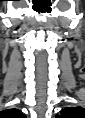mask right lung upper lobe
Returning <instances> with one entry per match:
<instances>
[{
	"label": "right lung upper lobe",
	"mask_w": 85,
	"mask_h": 118,
	"mask_svg": "<svg viewBox=\"0 0 85 118\" xmlns=\"http://www.w3.org/2000/svg\"><path fill=\"white\" fill-rule=\"evenodd\" d=\"M9 111L12 112V113H19V111L16 110V109H11V110H9Z\"/></svg>",
	"instance_id": "obj_1"
}]
</instances>
